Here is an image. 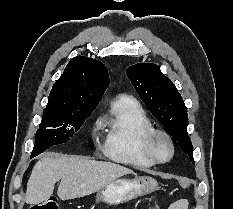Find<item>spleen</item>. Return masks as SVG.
Returning a JSON list of instances; mask_svg holds the SVG:
<instances>
[{
	"mask_svg": "<svg viewBox=\"0 0 233 209\" xmlns=\"http://www.w3.org/2000/svg\"><path fill=\"white\" fill-rule=\"evenodd\" d=\"M169 209H188V201L185 199L173 203Z\"/></svg>",
	"mask_w": 233,
	"mask_h": 209,
	"instance_id": "1",
	"label": "spleen"
}]
</instances>
